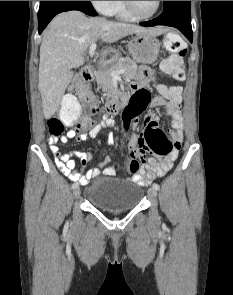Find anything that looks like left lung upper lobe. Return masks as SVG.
Masks as SVG:
<instances>
[{"label": "left lung upper lobe", "instance_id": "left-lung-upper-lobe-1", "mask_svg": "<svg viewBox=\"0 0 233 295\" xmlns=\"http://www.w3.org/2000/svg\"><path fill=\"white\" fill-rule=\"evenodd\" d=\"M174 2H176V1H163V3H164V7H163V9L168 8V7L171 6Z\"/></svg>", "mask_w": 233, "mask_h": 295}]
</instances>
